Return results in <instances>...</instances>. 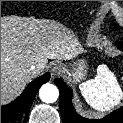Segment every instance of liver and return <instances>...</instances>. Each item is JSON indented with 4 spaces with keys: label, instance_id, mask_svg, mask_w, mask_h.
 <instances>
[{
    "label": "liver",
    "instance_id": "1",
    "mask_svg": "<svg viewBox=\"0 0 123 123\" xmlns=\"http://www.w3.org/2000/svg\"><path fill=\"white\" fill-rule=\"evenodd\" d=\"M82 51L75 35L49 21L1 17V104L13 100L48 59L70 60ZM36 65V70L29 68Z\"/></svg>",
    "mask_w": 123,
    "mask_h": 123
}]
</instances>
